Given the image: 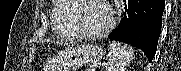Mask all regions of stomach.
<instances>
[{"mask_svg": "<svg viewBox=\"0 0 181 71\" xmlns=\"http://www.w3.org/2000/svg\"><path fill=\"white\" fill-rule=\"evenodd\" d=\"M103 50L94 44H83L60 52L47 63L51 71H72L101 60ZM49 65V66H48Z\"/></svg>", "mask_w": 181, "mask_h": 71, "instance_id": "0dacf381", "label": "stomach"}]
</instances>
